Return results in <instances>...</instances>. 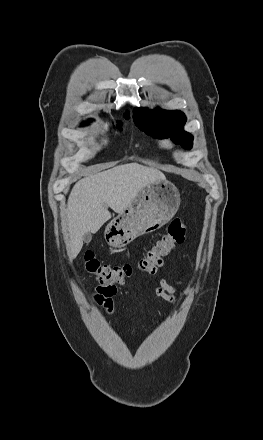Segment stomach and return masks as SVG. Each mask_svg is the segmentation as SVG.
<instances>
[{
	"instance_id": "1",
	"label": "stomach",
	"mask_w": 263,
	"mask_h": 440,
	"mask_svg": "<svg viewBox=\"0 0 263 440\" xmlns=\"http://www.w3.org/2000/svg\"><path fill=\"white\" fill-rule=\"evenodd\" d=\"M178 188L166 179L146 185L127 208L106 227L110 245L122 248L135 238L152 233L168 223L180 206Z\"/></svg>"
}]
</instances>
